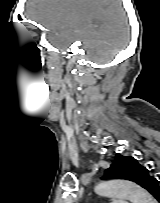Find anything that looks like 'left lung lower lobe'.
<instances>
[{"instance_id": "left-lung-lower-lobe-1", "label": "left lung lower lobe", "mask_w": 160, "mask_h": 203, "mask_svg": "<svg viewBox=\"0 0 160 203\" xmlns=\"http://www.w3.org/2000/svg\"><path fill=\"white\" fill-rule=\"evenodd\" d=\"M148 191L157 200V202H160V177L154 179Z\"/></svg>"}]
</instances>
